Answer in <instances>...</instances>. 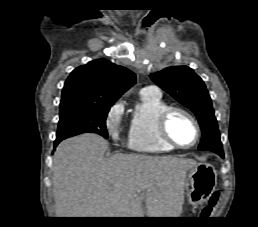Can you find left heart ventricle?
Instances as JSON below:
<instances>
[{
    "instance_id": "1",
    "label": "left heart ventricle",
    "mask_w": 258,
    "mask_h": 227,
    "mask_svg": "<svg viewBox=\"0 0 258 227\" xmlns=\"http://www.w3.org/2000/svg\"><path fill=\"white\" fill-rule=\"evenodd\" d=\"M168 129L173 139L181 145H190L195 140L194 125L183 114H173L169 119Z\"/></svg>"
}]
</instances>
